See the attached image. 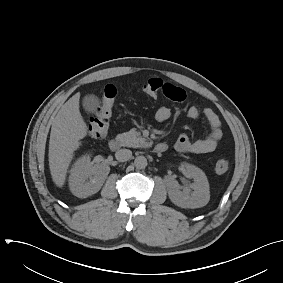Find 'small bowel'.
Wrapping results in <instances>:
<instances>
[{"label": "small bowel", "instance_id": "obj_1", "mask_svg": "<svg viewBox=\"0 0 283 283\" xmlns=\"http://www.w3.org/2000/svg\"><path fill=\"white\" fill-rule=\"evenodd\" d=\"M161 92L165 97L172 101L179 102L186 98V93L182 88L169 82H163ZM186 114L191 119H199L203 116L208 123L209 134L205 138L199 140H191L187 134H181L174 143V149L180 153L191 154L213 152L217 148L222 137L219 117L210 108L200 110L195 106L189 107ZM155 116L159 122H164L170 118L171 111L169 108L163 106L157 110Z\"/></svg>", "mask_w": 283, "mask_h": 283}]
</instances>
